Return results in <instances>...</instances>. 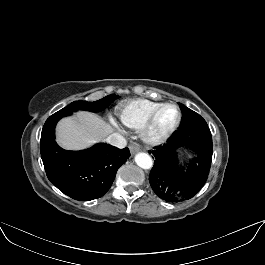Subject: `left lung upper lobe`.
Instances as JSON below:
<instances>
[{"label":"left lung upper lobe","mask_w":265,"mask_h":265,"mask_svg":"<svg viewBox=\"0 0 265 265\" xmlns=\"http://www.w3.org/2000/svg\"><path fill=\"white\" fill-rule=\"evenodd\" d=\"M182 111L181 124L178 130L186 129L202 120H204L199 114L187 108L181 103H178Z\"/></svg>","instance_id":"left-lung-upper-lobe-1"}]
</instances>
